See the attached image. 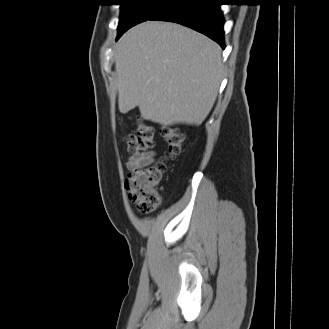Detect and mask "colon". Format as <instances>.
Here are the masks:
<instances>
[{
  "mask_svg": "<svg viewBox=\"0 0 329 329\" xmlns=\"http://www.w3.org/2000/svg\"><path fill=\"white\" fill-rule=\"evenodd\" d=\"M136 134L125 137V143L129 152L141 153L154 146L155 130L152 126L138 120L136 122ZM163 138L167 146L166 158H175L183 150L184 138L179 129L166 127L162 130ZM166 171L165 159L159 160L151 166L135 168L129 174L125 189L131 202L135 203L142 212H149L158 207L161 197L157 187Z\"/></svg>",
  "mask_w": 329,
  "mask_h": 329,
  "instance_id": "1",
  "label": "colon"
}]
</instances>
